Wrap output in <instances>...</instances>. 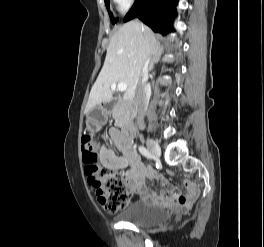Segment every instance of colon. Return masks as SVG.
<instances>
[{
    "mask_svg": "<svg viewBox=\"0 0 264 247\" xmlns=\"http://www.w3.org/2000/svg\"><path fill=\"white\" fill-rule=\"evenodd\" d=\"M89 141L87 138L83 146V161L89 184L102 208L108 213H116L129 204V188L118 172L100 167L98 152ZM177 205L186 208L182 202Z\"/></svg>",
    "mask_w": 264,
    "mask_h": 247,
    "instance_id": "5ec220e1",
    "label": "colon"
}]
</instances>
